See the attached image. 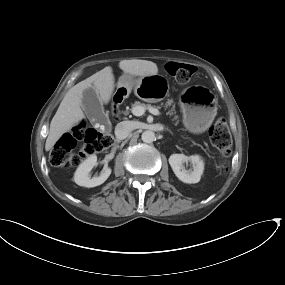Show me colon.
<instances>
[{"mask_svg":"<svg viewBox=\"0 0 285 285\" xmlns=\"http://www.w3.org/2000/svg\"><path fill=\"white\" fill-rule=\"evenodd\" d=\"M170 76L181 82H187L195 72V67L171 61L166 65ZM209 138L212 145L226 158L231 152L232 139L227 122L217 120L209 129ZM111 143L109 134H101L87 129L83 123L75 125L64 134L56 143L50 154V163L54 167L69 168L80 164L82 155H90L103 150ZM227 170L226 160L220 165L219 172Z\"/></svg>","mask_w":285,"mask_h":285,"instance_id":"1","label":"colon"}]
</instances>
